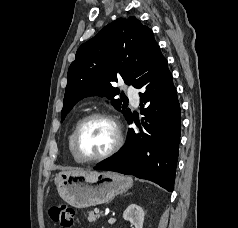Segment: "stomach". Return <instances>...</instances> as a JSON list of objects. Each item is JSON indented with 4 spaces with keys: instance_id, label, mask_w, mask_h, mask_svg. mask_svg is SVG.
<instances>
[{
    "instance_id": "0dacf381",
    "label": "stomach",
    "mask_w": 238,
    "mask_h": 228,
    "mask_svg": "<svg viewBox=\"0 0 238 228\" xmlns=\"http://www.w3.org/2000/svg\"><path fill=\"white\" fill-rule=\"evenodd\" d=\"M54 180L60 197L76 208L104 204L133 184L131 177L110 171H63Z\"/></svg>"
}]
</instances>
